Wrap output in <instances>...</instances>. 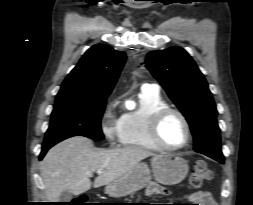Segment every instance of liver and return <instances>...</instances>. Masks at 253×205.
I'll use <instances>...</instances> for the list:
<instances>
[{"mask_svg": "<svg viewBox=\"0 0 253 205\" xmlns=\"http://www.w3.org/2000/svg\"><path fill=\"white\" fill-rule=\"evenodd\" d=\"M153 153L126 147L95 150L93 142L82 136L66 139L52 147L40 164L41 177L50 202H58L63 191L79 195L91 188L92 172L102 170L94 188L107 185L132 170Z\"/></svg>", "mask_w": 253, "mask_h": 205, "instance_id": "liver-1", "label": "liver"}]
</instances>
